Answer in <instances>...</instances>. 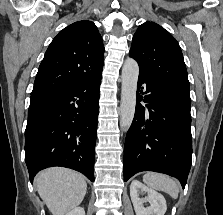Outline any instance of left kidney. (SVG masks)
<instances>
[{
	"instance_id": "5707ae66",
	"label": "left kidney",
	"mask_w": 223,
	"mask_h": 215,
	"mask_svg": "<svg viewBox=\"0 0 223 215\" xmlns=\"http://www.w3.org/2000/svg\"><path fill=\"white\" fill-rule=\"evenodd\" d=\"M140 191H147V197H138ZM130 195L136 215H164L167 209L165 197L155 189L146 187L138 179H133L130 185ZM144 201H149V207H144Z\"/></svg>"
}]
</instances>
